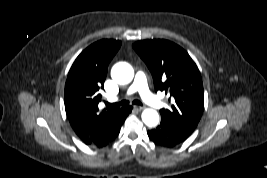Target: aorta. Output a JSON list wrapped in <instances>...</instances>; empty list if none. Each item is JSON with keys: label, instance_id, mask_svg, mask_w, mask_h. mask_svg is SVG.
I'll return each mask as SVG.
<instances>
[{"label": "aorta", "instance_id": "1", "mask_svg": "<svg viewBox=\"0 0 267 178\" xmlns=\"http://www.w3.org/2000/svg\"><path fill=\"white\" fill-rule=\"evenodd\" d=\"M111 77L118 84H128L132 81L134 77L133 67L126 62L116 63L111 70ZM142 121L148 127H155L159 123V114L156 110L145 109L142 112Z\"/></svg>", "mask_w": 267, "mask_h": 178}]
</instances>
